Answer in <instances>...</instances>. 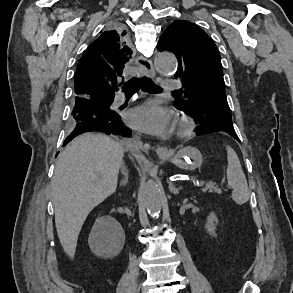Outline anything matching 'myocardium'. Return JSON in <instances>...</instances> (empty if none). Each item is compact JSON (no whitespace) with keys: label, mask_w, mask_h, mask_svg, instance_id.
Masks as SVG:
<instances>
[{"label":"myocardium","mask_w":293,"mask_h":293,"mask_svg":"<svg viewBox=\"0 0 293 293\" xmlns=\"http://www.w3.org/2000/svg\"><path fill=\"white\" fill-rule=\"evenodd\" d=\"M176 127L179 136H187L193 131L194 123L188 117H181L176 121Z\"/></svg>","instance_id":"obj_1"}]
</instances>
